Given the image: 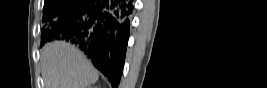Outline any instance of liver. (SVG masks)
<instances>
[{"label":"liver","instance_id":"obj_1","mask_svg":"<svg viewBox=\"0 0 267 88\" xmlns=\"http://www.w3.org/2000/svg\"><path fill=\"white\" fill-rule=\"evenodd\" d=\"M40 61L45 88H87L99 77L83 53L64 41L44 45Z\"/></svg>","mask_w":267,"mask_h":88}]
</instances>
